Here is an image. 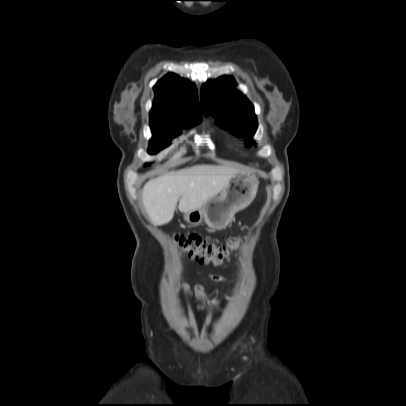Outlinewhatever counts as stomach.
I'll list each match as a JSON object with an SVG mask.
<instances>
[{"instance_id": "0dacf381", "label": "stomach", "mask_w": 406, "mask_h": 406, "mask_svg": "<svg viewBox=\"0 0 406 406\" xmlns=\"http://www.w3.org/2000/svg\"><path fill=\"white\" fill-rule=\"evenodd\" d=\"M258 185L255 175L239 171L226 183L220 196L209 199L200 209L186 213L184 219L192 225L204 221L210 228H225L236 212L253 201Z\"/></svg>"}]
</instances>
